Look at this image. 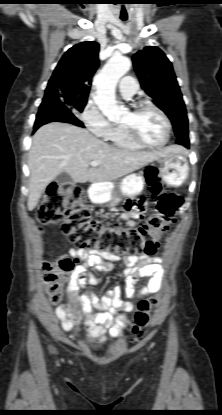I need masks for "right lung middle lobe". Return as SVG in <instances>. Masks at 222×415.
Listing matches in <instances>:
<instances>
[{
  "instance_id": "1",
  "label": "right lung middle lobe",
  "mask_w": 222,
  "mask_h": 415,
  "mask_svg": "<svg viewBox=\"0 0 222 415\" xmlns=\"http://www.w3.org/2000/svg\"><path fill=\"white\" fill-rule=\"evenodd\" d=\"M60 97L57 98L59 101H61L68 109L73 110V111H79L82 112L86 103H87V98H76L73 96H64L62 94L59 95ZM52 100L49 99H43V102L41 105L46 104V103H50ZM40 105V106H41Z\"/></svg>"
}]
</instances>
